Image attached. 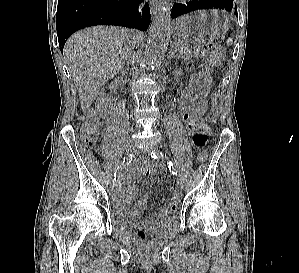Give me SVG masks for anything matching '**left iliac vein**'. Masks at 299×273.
<instances>
[{
    "mask_svg": "<svg viewBox=\"0 0 299 273\" xmlns=\"http://www.w3.org/2000/svg\"><path fill=\"white\" fill-rule=\"evenodd\" d=\"M140 152H141V153H146L147 150H146V149H141ZM176 187H177V189H182V182H181L180 179H177V180H176Z\"/></svg>",
    "mask_w": 299,
    "mask_h": 273,
    "instance_id": "1",
    "label": "left iliac vein"
}]
</instances>
